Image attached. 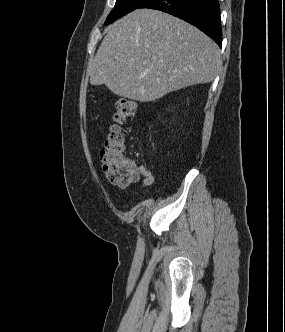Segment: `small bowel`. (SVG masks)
Masks as SVG:
<instances>
[{"label": "small bowel", "mask_w": 285, "mask_h": 332, "mask_svg": "<svg viewBox=\"0 0 285 332\" xmlns=\"http://www.w3.org/2000/svg\"><path fill=\"white\" fill-rule=\"evenodd\" d=\"M138 173L143 177V181L140 185V188L151 186L154 182V176L152 172L143 165H138L134 163Z\"/></svg>", "instance_id": "c3829d8e"}]
</instances>
